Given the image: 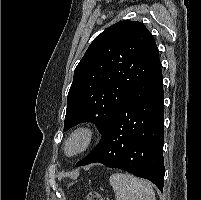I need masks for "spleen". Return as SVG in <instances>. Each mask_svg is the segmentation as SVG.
Here are the masks:
<instances>
[{
  "instance_id": "spleen-1",
  "label": "spleen",
  "mask_w": 201,
  "mask_h": 200,
  "mask_svg": "<svg viewBox=\"0 0 201 200\" xmlns=\"http://www.w3.org/2000/svg\"><path fill=\"white\" fill-rule=\"evenodd\" d=\"M109 181L116 200H156L154 190L148 181L127 173H114Z\"/></svg>"
}]
</instances>
